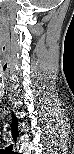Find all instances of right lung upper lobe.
<instances>
[{"instance_id": "obj_1", "label": "right lung upper lobe", "mask_w": 74, "mask_h": 154, "mask_svg": "<svg viewBox=\"0 0 74 154\" xmlns=\"http://www.w3.org/2000/svg\"><path fill=\"white\" fill-rule=\"evenodd\" d=\"M12 129L15 133V136L17 135V126H18V120L16 118V116L13 114L12 116V123H11Z\"/></svg>"}]
</instances>
